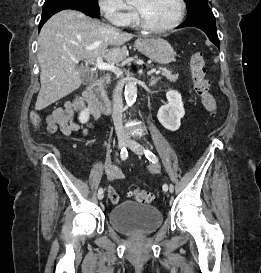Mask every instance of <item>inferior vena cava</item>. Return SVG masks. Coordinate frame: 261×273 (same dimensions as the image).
<instances>
[{"instance_id": "1", "label": "inferior vena cava", "mask_w": 261, "mask_h": 273, "mask_svg": "<svg viewBox=\"0 0 261 273\" xmlns=\"http://www.w3.org/2000/svg\"><path fill=\"white\" fill-rule=\"evenodd\" d=\"M122 83L118 82L116 85L113 96H112V119L114 122L116 134L118 138H125L126 132L123 128L122 122V113H123V104H122Z\"/></svg>"}]
</instances>
